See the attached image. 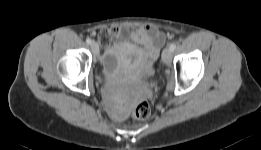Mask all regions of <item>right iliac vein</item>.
Masks as SVG:
<instances>
[{
  "label": "right iliac vein",
  "mask_w": 261,
  "mask_h": 150,
  "mask_svg": "<svg viewBox=\"0 0 261 150\" xmlns=\"http://www.w3.org/2000/svg\"><path fill=\"white\" fill-rule=\"evenodd\" d=\"M91 49H92V52L94 53V55H98L99 54V45L97 42H92L91 43Z\"/></svg>",
  "instance_id": "obj_1"
}]
</instances>
